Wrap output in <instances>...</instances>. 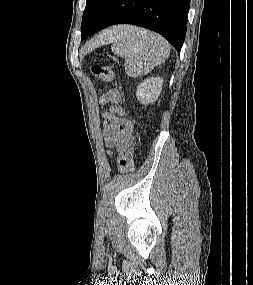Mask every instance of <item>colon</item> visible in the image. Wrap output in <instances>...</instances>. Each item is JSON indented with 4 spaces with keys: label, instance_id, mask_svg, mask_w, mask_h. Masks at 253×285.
Returning a JSON list of instances; mask_svg holds the SVG:
<instances>
[{
    "label": "colon",
    "instance_id": "colon-1",
    "mask_svg": "<svg viewBox=\"0 0 253 285\" xmlns=\"http://www.w3.org/2000/svg\"><path fill=\"white\" fill-rule=\"evenodd\" d=\"M92 75L98 79L106 82H113L115 79L114 72L106 66L93 65L91 67ZM118 115L121 118L126 116V110L123 106L119 105L117 107ZM118 166L121 173H129L133 170L134 166V149L133 145L129 144L122 152L118 159Z\"/></svg>",
    "mask_w": 253,
    "mask_h": 285
}]
</instances>
